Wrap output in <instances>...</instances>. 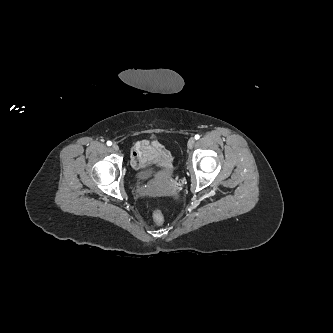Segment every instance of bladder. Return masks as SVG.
<instances>
[{"instance_id": "31cf9c89", "label": "bladder", "mask_w": 333, "mask_h": 333, "mask_svg": "<svg viewBox=\"0 0 333 333\" xmlns=\"http://www.w3.org/2000/svg\"><path fill=\"white\" fill-rule=\"evenodd\" d=\"M153 173H154L153 168L149 167L138 171L136 177L138 179L144 180L150 178L153 175Z\"/></svg>"}]
</instances>
